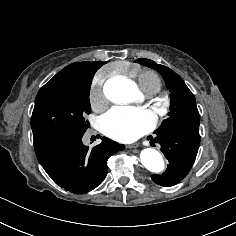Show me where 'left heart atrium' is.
Returning a JSON list of instances; mask_svg holds the SVG:
<instances>
[{"instance_id":"left-heart-atrium-1","label":"left heart atrium","mask_w":236,"mask_h":236,"mask_svg":"<svg viewBox=\"0 0 236 236\" xmlns=\"http://www.w3.org/2000/svg\"><path fill=\"white\" fill-rule=\"evenodd\" d=\"M155 115L149 109L118 106L102 118V131L120 141H133L145 134L155 123Z\"/></svg>"}]
</instances>
